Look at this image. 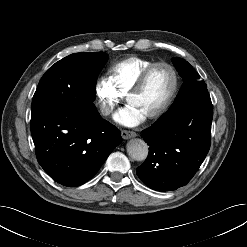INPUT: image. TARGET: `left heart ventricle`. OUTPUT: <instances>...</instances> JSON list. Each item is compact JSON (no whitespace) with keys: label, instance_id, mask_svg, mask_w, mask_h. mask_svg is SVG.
Returning <instances> with one entry per match:
<instances>
[{"label":"left heart ventricle","instance_id":"left-heart-ventricle-1","mask_svg":"<svg viewBox=\"0 0 247 247\" xmlns=\"http://www.w3.org/2000/svg\"><path fill=\"white\" fill-rule=\"evenodd\" d=\"M173 78L166 67H157L149 75L142 91L132 96L128 104L138 108L146 117L158 110L167 99Z\"/></svg>","mask_w":247,"mask_h":247}]
</instances>
